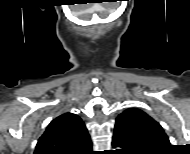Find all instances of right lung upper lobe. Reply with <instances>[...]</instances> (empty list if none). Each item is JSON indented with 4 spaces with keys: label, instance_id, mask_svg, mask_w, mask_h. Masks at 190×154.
Wrapping results in <instances>:
<instances>
[{
    "label": "right lung upper lobe",
    "instance_id": "cb5924a9",
    "mask_svg": "<svg viewBox=\"0 0 190 154\" xmlns=\"http://www.w3.org/2000/svg\"><path fill=\"white\" fill-rule=\"evenodd\" d=\"M92 143L86 126L76 114L55 118L38 140L34 154H90Z\"/></svg>",
    "mask_w": 190,
    "mask_h": 154
}]
</instances>
